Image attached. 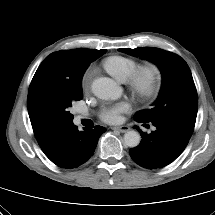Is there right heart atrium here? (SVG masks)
I'll return each instance as SVG.
<instances>
[{
	"instance_id": "right-heart-atrium-1",
	"label": "right heart atrium",
	"mask_w": 215,
	"mask_h": 215,
	"mask_svg": "<svg viewBox=\"0 0 215 215\" xmlns=\"http://www.w3.org/2000/svg\"><path fill=\"white\" fill-rule=\"evenodd\" d=\"M90 82H91V73L88 72L84 75L82 79V87L84 90H87L89 88Z\"/></svg>"
}]
</instances>
